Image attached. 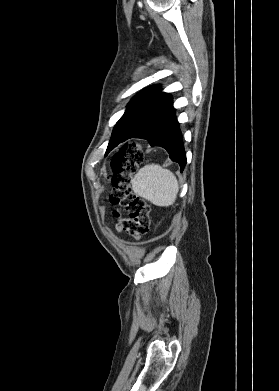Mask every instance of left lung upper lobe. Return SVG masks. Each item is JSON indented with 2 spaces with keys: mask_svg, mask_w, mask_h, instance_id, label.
<instances>
[{
  "mask_svg": "<svg viewBox=\"0 0 279 391\" xmlns=\"http://www.w3.org/2000/svg\"><path fill=\"white\" fill-rule=\"evenodd\" d=\"M160 91V86L154 85L145 88L130 101L113 129L106 153L126 136L140 133L173 108L172 96Z\"/></svg>",
  "mask_w": 279,
  "mask_h": 391,
  "instance_id": "obj_1",
  "label": "left lung upper lobe"
}]
</instances>
